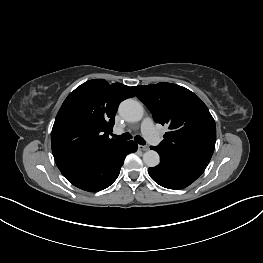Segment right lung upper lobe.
I'll list each match as a JSON object with an SVG mask.
<instances>
[{"instance_id":"cb5924a9","label":"right lung upper lobe","mask_w":263,"mask_h":263,"mask_svg":"<svg viewBox=\"0 0 263 263\" xmlns=\"http://www.w3.org/2000/svg\"><path fill=\"white\" fill-rule=\"evenodd\" d=\"M129 86L103 79L72 91L59 109L51 132L52 153L59 169L85 161L123 141L110 139L120 102L133 97Z\"/></svg>"}]
</instances>
